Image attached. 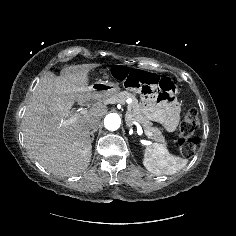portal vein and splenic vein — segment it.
Returning a JSON list of instances; mask_svg holds the SVG:
<instances>
[{
    "label": "portal vein and splenic vein",
    "instance_id": "obj_1",
    "mask_svg": "<svg viewBox=\"0 0 236 236\" xmlns=\"http://www.w3.org/2000/svg\"><path fill=\"white\" fill-rule=\"evenodd\" d=\"M80 113H81V114H85V113H86V110H82ZM75 119H76V117L74 116V117H71V118H69V119H67V120H63V121H61V125H62V126L70 125L71 123H73V122L75 121ZM136 126H137V131L140 132V133H142L143 131H142L141 125L136 122ZM145 135H147V137H148V136L150 135V133L145 132Z\"/></svg>",
    "mask_w": 236,
    "mask_h": 236
}]
</instances>
